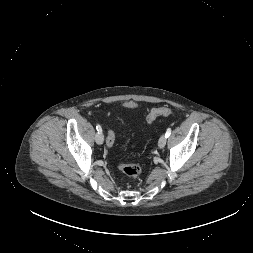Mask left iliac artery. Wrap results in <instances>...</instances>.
Here are the masks:
<instances>
[{"instance_id":"1","label":"left iliac artery","mask_w":253,"mask_h":253,"mask_svg":"<svg viewBox=\"0 0 253 253\" xmlns=\"http://www.w3.org/2000/svg\"><path fill=\"white\" fill-rule=\"evenodd\" d=\"M170 134H171V128H168L165 133L166 138H168L170 136Z\"/></svg>"}]
</instances>
